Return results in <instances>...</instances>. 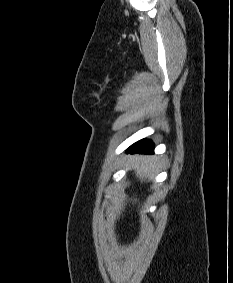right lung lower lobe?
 Returning <instances> with one entry per match:
<instances>
[{
    "label": "right lung lower lobe",
    "instance_id": "right-lung-lower-lobe-1",
    "mask_svg": "<svg viewBox=\"0 0 233 283\" xmlns=\"http://www.w3.org/2000/svg\"><path fill=\"white\" fill-rule=\"evenodd\" d=\"M154 143L150 140H141L130 146L127 152L130 153H152Z\"/></svg>",
    "mask_w": 233,
    "mask_h": 283
}]
</instances>
